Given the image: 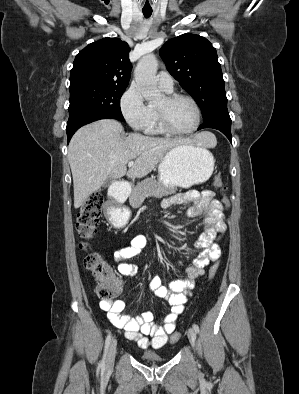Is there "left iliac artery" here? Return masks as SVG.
<instances>
[{
	"mask_svg": "<svg viewBox=\"0 0 299 394\" xmlns=\"http://www.w3.org/2000/svg\"><path fill=\"white\" fill-rule=\"evenodd\" d=\"M194 330L199 333V326L197 324H193Z\"/></svg>",
	"mask_w": 299,
	"mask_h": 394,
	"instance_id": "left-iliac-artery-1",
	"label": "left iliac artery"
}]
</instances>
